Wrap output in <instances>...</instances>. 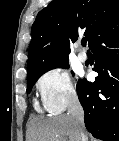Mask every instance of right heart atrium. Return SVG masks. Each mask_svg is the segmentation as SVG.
I'll return each mask as SVG.
<instances>
[{
    "mask_svg": "<svg viewBox=\"0 0 119 141\" xmlns=\"http://www.w3.org/2000/svg\"><path fill=\"white\" fill-rule=\"evenodd\" d=\"M37 91L43 107L51 113H59L73 104L77 94L69 73L60 67L42 74L37 83Z\"/></svg>",
    "mask_w": 119,
    "mask_h": 141,
    "instance_id": "obj_1",
    "label": "right heart atrium"
}]
</instances>
